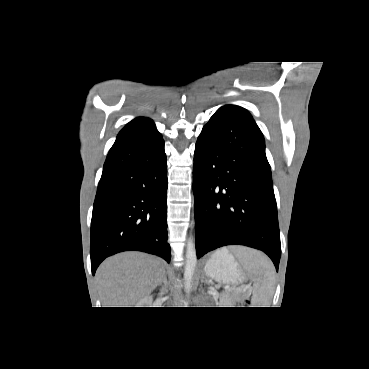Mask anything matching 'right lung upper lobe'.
<instances>
[{"label":"right lung upper lobe","mask_w":369,"mask_h":369,"mask_svg":"<svg viewBox=\"0 0 369 369\" xmlns=\"http://www.w3.org/2000/svg\"><path fill=\"white\" fill-rule=\"evenodd\" d=\"M155 128L153 121L149 118L139 117L129 122L118 134L116 141L137 136L151 131Z\"/></svg>","instance_id":"cb5924a9"}]
</instances>
